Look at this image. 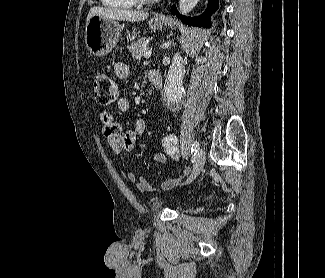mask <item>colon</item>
I'll list each match as a JSON object with an SVG mask.
<instances>
[{"label": "colon", "instance_id": "1", "mask_svg": "<svg viewBox=\"0 0 325 278\" xmlns=\"http://www.w3.org/2000/svg\"><path fill=\"white\" fill-rule=\"evenodd\" d=\"M93 94L95 101L102 106L112 104L118 99L119 92L116 83L106 74H98L94 79ZM164 152L178 160V144L174 135H166L161 141Z\"/></svg>", "mask_w": 325, "mask_h": 278}]
</instances>
